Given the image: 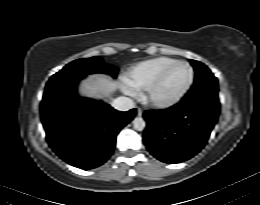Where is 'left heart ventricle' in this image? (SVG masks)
<instances>
[{
    "instance_id": "b2bd125f",
    "label": "left heart ventricle",
    "mask_w": 260,
    "mask_h": 205,
    "mask_svg": "<svg viewBox=\"0 0 260 205\" xmlns=\"http://www.w3.org/2000/svg\"><path fill=\"white\" fill-rule=\"evenodd\" d=\"M190 76V70L186 65L179 64L174 66L155 88L153 97L158 100H167L175 97L187 86Z\"/></svg>"
}]
</instances>
